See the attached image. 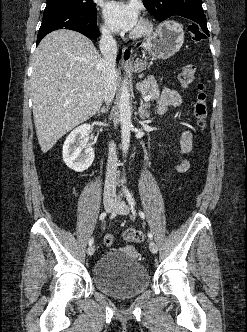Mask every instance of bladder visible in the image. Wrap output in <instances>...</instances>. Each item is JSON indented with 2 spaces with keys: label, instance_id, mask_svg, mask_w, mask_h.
<instances>
[{
  "label": "bladder",
  "instance_id": "bladder-1",
  "mask_svg": "<svg viewBox=\"0 0 247 332\" xmlns=\"http://www.w3.org/2000/svg\"><path fill=\"white\" fill-rule=\"evenodd\" d=\"M92 281L101 292L117 299H128L146 290L150 279L135 251L131 247H119L105 252L96 261Z\"/></svg>",
  "mask_w": 247,
  "mask_h": 332
}]
</instances>
